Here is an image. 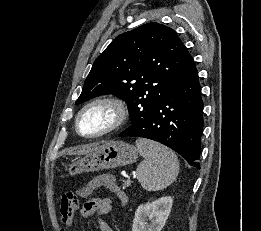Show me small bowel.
Masks as SVG:
<instances>
[{
	"mask_svg": "<svg viewBox=\"0 0 261 231\" xmlns=\"http://www.w3.org/2000/svg\"><path fill=\"white\" fill-rule=\"evenodd\" d=\"M109 182H114L113 178L110 175H99L92 179L90 183L94 184L96 188L106 187L109 188L112 192L118 195L121 199H123L122 192L117 188L111 189L109 187ZM80 196L86 198L89 194L82 193V189L79 190ZM112 209V203L109 198H91L88 199L81 208V216L83 218H89L93 215L98 217V224L100 231H113L111 227L102 219V216L108 214ZM62 222L70 226L71 221H65L62 219ZM65 231V230H62Z\"/></svg>",
	"mask_w": 261,
	"mask_h": 231,
	"instance_id": "c3829d8e",
	"label": "small bowel"
}]
</instances>
